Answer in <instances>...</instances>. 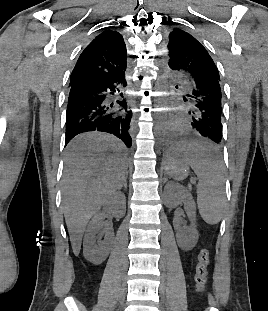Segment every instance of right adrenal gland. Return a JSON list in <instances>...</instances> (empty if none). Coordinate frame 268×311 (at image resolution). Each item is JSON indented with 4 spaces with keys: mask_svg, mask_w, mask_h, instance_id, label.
I'll return each mask as SVG.
<instances>
[{
    "mask_svg": "<svg viewBox=\"0 0 268 311\" xmlns=\"http://www.w3.org/2000/svg\"><path fill=\"white\" fill-rule=\"evenodd\" d=\"M122 187H125V189H127V182H126V179H125L124 182L120 185L119 189H121Z\"/></svg>",
    "mask_w": 268,
    "mask_h": 311,
    "instance_id": "2a0ac1e0",
    "label": "right adrenal gland"
}]
</instances>
